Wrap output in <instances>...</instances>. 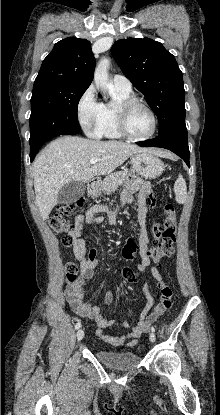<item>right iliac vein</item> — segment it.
<instances>
[{
  "mask_svg": "<svg viewBox=\"0 0 220 415\" xmlns=\"http://www.w3.org/2000/svg\"><path fill=\"white\" fill-rule=\"evenodd\" d=\"M84 338V330L83 329H79L77 332V340L81 341Z\"/></svg>",
  "mask_w": 220,
  "mask_h": 415,
  "instance_id": "right-iliac-vein-1",
  "label": "right iliac vein"
}]
</instances>
